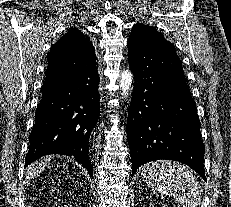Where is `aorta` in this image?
<instances>
[{
	"instance_id": "aorta-1",
	"label": "aorta",
	"mask_w": 231,
	"mask_h": 207,
	"mask_svg": "<svg viewBox=\"0 0 231 207\" xmlns=\"http://www.w3.org/2000/svg\"><path fill=\"white\" fill-rule=\"evenodd\" d=\"M132 82H133L132 73L129 70H123L120 76V90H121V94L124 97H126L129 94L131 90Z\"/></svg>"
}]
</instances>
